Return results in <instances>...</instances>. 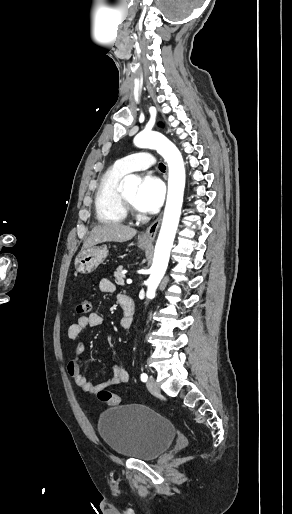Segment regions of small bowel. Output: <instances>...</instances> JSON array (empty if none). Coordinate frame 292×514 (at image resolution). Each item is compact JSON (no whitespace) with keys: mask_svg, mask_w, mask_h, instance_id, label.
I'll return each mask as SVG.
<instances>
[{"mask_svg":"<svg viewBox=\"0 0 292 514\" xmlns=\"http://www.w3.org/2000/svg\"><path fill=\"white\" fill-rule=\"evenodd\" d=\"M99 290L104 294L114 292L115 286L111 280L103 278L99 281ZM126 313L120 320V326L124 328ZM103 324V316L99 312H92L88 316L78 318L77 322L71 324L67 330V338L70 342L76 343L75 356L70 358L67 363V373L74 380L77 386L89 394H96L101 390H106L109 387L127 383L129 374L121 364H115L113 367L112 377L106 381L94 383L91 382L87 375L81 371L80 355L85 351V345L79 341L82 331L87 328H98ZM131 323L128 322V326Z\"/></svg>","mask_w":292,"mask_h":514,"instance_id":"1","label":"small bowel"}]
</instances>
